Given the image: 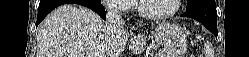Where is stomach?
I'll use <instances>...</instances> for the list:
<instances>
[{"instance_id":"0dacf381","label":"stomach","mask_w":249,"mask_h":57,"mask_svg":"<svg viewBox=\"0 0 249 57\" xmlns=\"http://www.w3.org/2000/svg\"><path fill=\"white\" fill-rule=\"evenodd\" d=\"M155 41L163 48L158 57H184L187 47V32L176 23H161L152 32Z\"/></svg>"}]
</instances>
